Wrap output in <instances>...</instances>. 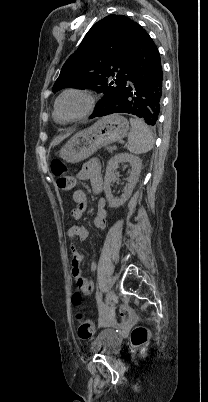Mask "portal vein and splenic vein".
Listing matches in <instances>:
<instances>
[{
    "mask_svg": "<svg viewBox=\"0 0 208 402\" xmlns=\"http://www.w3.org/2000/svg\"><path fill=\"white\" fill-rule=\"evenodd\" d=\"M113 148H114V150H116V149L118 148V145H117V144H114V145H113Z\"/></svg>",
    "mask_w": 208,
    "mask_h": 402,
    "instance_id": "1",
    "label": "portal vein and splenic vein"
}]
</instances>
